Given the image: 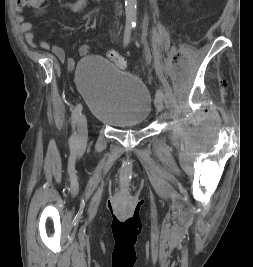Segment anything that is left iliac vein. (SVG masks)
I'll return each instance as SVG.
<instances>
[{"label":"left iliac vein","instance_id":"4c4485c4","mask_svg":"<svg viewBox=\"0 0 253 267\" xmlns=\"http://www.w3.org/2000/svg\"><path fill=\"white\" fill-rule=\"evenodd\" d=\"M163 98L164 97L162 95H159L155 99V106H156L157 111H159V112H161L163 110V108H164Z\"/></svg>","mask_w":253,"mask_h":267}]
</instances>
